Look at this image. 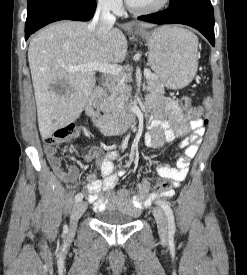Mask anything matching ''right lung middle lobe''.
<instances>
[{
  "label": "right lung middle lobe",
  "instance_id": "dd1d6c3e",
  "mask_svg": "<svg viewBox=\"0 0 247 275\" xmlns=\"http://www.w3.org/2000/svg\"><path fill=\"white\" fill-rule=\"evenodd\" d=\"M34 1H37V0H28V3H31V2H34ZM85 1H95V0H85Z\"/></svg>",
  "mask_w": 247,
  "mask_h": 275
}]
</instances>
